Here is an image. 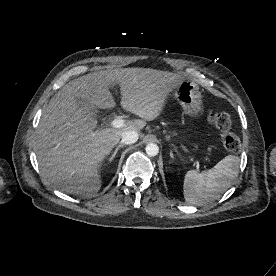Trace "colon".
Segmentation results:
<instances>
[{
    "label": "colon",
    "mask_w": 276,
    "mask_h": 276,
    "mask_svg": "<svg viewBox=\"0 0 276 276\" xmlns=\"http://www.w3.org/2000/svg\"><path fill=\"white\" fill-rule=\"evenodd\" d=\"M208 120L220 132L222 146L229 152H238L241 146L240 139L230 131L232 125L230 116L225 112L211 111Z\"/></svg>",
    "instance_id": "obj_1"
}]
</instances>
